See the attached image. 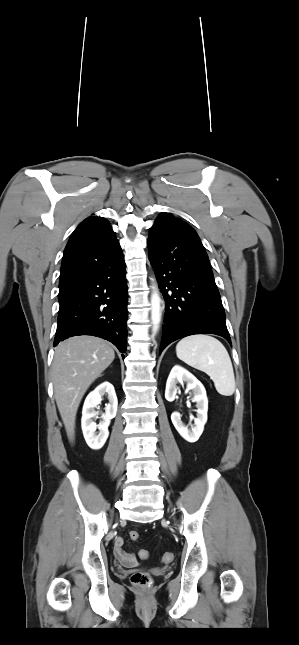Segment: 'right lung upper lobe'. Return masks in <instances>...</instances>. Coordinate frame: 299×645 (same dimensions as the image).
<instances>
[{
    "label": "right lung upper lobe",
    "instance_id": "right-lung-upper-lobe-1",
    "mask_svg": "<svg viewBox=\"0 0 299 645\" xmlns=\"http://www.w3.org/2000/svg\"><path fill=\"white\" fill-rule=\"evenodd\" d=\"M122 256L108 221L98 216L88 217L72 233L64 250L60 290L87 272L111 264Z\"/></svg>",
    "mask_w": 299,
    "mask_h": 645
}]
</instances>
